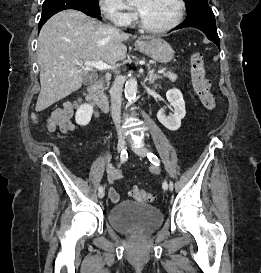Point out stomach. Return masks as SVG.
Here are the masks:
<instances>
[{
	"mask_svg": "<svg viewBox=\"0 0 261 273\" xmlns=\"http://www.w3.org/2000/svg\"><path fill=\"white\" fill-rule=\"evenodd\" d=\"M136 48L160 63H168L173 59L174 51L165 40L154 38L151 40L138 39Z\"/></svg>",
	"mask_w": 261,
	"mask_h": 273,
	"instance_id": "stomach-1",
	"label": "stomach"
}]
</instances>
